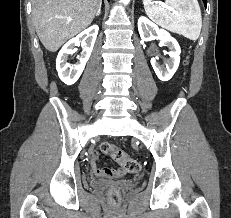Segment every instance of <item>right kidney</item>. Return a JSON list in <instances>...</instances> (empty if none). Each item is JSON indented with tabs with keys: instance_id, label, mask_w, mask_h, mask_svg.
Instances as JSON below:
<instances>
[{
	"instance_id": "1",
	"label": "right kidney",
	"mask_w": 231,
	"mask_h": 218,
	"mask_svg": "<svg viewBox=\"0 0 231 218\" xmlns=\"http://www.w3.org/2000/svg\"><path fill=\"white\" fill-rule=\"evenodd\" d=\"M98 30V25H92L75 38L69 40L58 53L56 59V69L60 79L65 84L72 85L79 79L93 50ZM80 43L83 51L81 56L78 57L79 62L71 66L67 62L68 56L75 52V46H79Z\"/></svg>"
}]
</instances>
